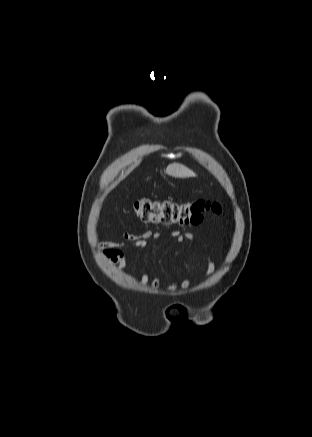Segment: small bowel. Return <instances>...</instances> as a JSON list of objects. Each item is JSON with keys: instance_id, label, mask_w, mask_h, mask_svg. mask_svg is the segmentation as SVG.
Here are the masks:
<instances>
[{"instance_id": "small-bowel-1", "label": "small bowel", "mask_w": 312, "mask_h": 437, "mask_svg": "<svg viewBox=\"0 0 312 437\" xmlns=\"http://www.w3.org/2000/svg\"><path fill=\"white\" fill-rule=\"evenodd\" d=\"M173 237L176 238L178 243H183L185 241H191L193 236L191 233L181 234L179 231H173L171 233ZM161 234L157 231H146L140 233L138 235L129 234L125 232L123 234V238L125 242H104L99 245L101 249L103 257L107 259L111 264H116L120 269H123L126 265L127 260V252L126 248H137L143 249L148 245V240H159ZM214 270V263L212 261L209 262L207 274L212 273ZM190 285V280H184L179 284V288L185 289Z\"/></svg>"}]
</instances>
